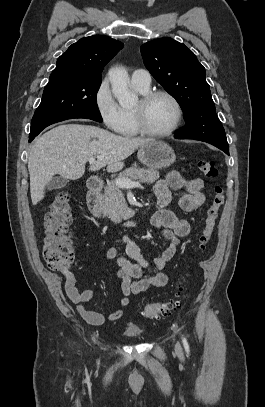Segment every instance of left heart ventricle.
Returning <instances> with one entry per match:
<instances>
[{"instance_id":"b2bd125f","label":"left heart ventricle","mask_w":265,"mask_h":407,"mask_svg":"<svg viewBox=\"0 0 265 407\" xmlns=\"http://www.w3.org/2000/svg\"><path fill=\"white\" fill-rule=\"evenodd\" d=\"M139 103L135 106V108ZM176 110L173 103L166 97L155 98L145 109V123L154 132L169 129L175 121Z\"/></svg>"}]
</instances>
